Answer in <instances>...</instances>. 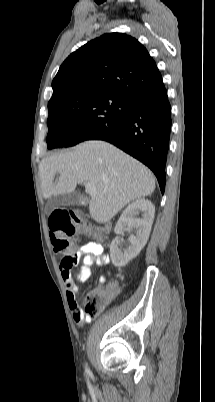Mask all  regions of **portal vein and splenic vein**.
I'll return each instance as SVG.
<instances>
[{
  "label": "portal vein and splenic vein",
  "instance_id": "obj_1",
  "mask_svg": "<svg viewBox=\"0 0 215 402\" xmlns=\"http://www.w3.org/2000/svg\"><path fill=\"white\" fill-rule=\"evenodd\" d=\"M85 190L86 192H88L91 196H95L96 195V188L93 184L91 183H86L85 184Z\"/></svg>",
  "mask_w": 215,
  "mask_h": 402
}]
</instances>
